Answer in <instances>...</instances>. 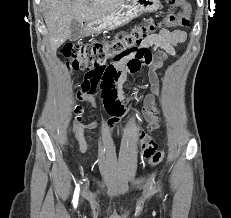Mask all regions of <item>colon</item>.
I'll use <instances>...</instances> for the list:
<instances>
[{
  "label": "colon",
  "instance_id": "obj_1",
  "mask_svg": "<svg viewBox=\"0 0 231 218\" xmlns=\"http://www.w3.org/2000/svg\"><path fill=\"white\" fill-rule=\"evenodd\" d=\"M170 6L180 7L178 13L170 12L164 19V24L168 27H185L190 23V7L185 0H166ZM155 25H138L128 31L114 35L105 42H96L94 44H65L62 48V55L66 59L67 65L74 70L97 69L98 66H104L105 63H112L119 56H152L151 52L142 47L144 41L149 37L150 32ZM77 119L81 118L82 110L75 108ZM163 150L155 149L149 157V164L156 165L164 158Z\"/></svg>",
  "mask_w": 231,
  "mask_h": 218
}]
</instances>
